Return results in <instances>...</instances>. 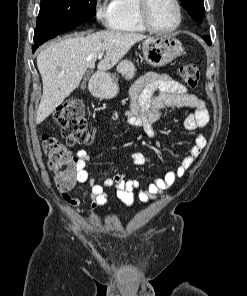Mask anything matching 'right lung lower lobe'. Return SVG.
I'll use <instances>...</instances> for the list:
<instances>
[{
	"label": "right lung lower lobe",
	"instance_id": "98d812e1",
	"mask_svg": "<svg viewBox=\"0 0 247 296\" xmlns=\"http://www.w3.org/2000/svg\"><path fill=\"white\" fill-rule=\"evenodd\" d=\"M36 48H37L36 46H34V45L32 46V50H33V51H35Z\"/></svg>",
	"mask_w": 247,
	"mask_h": 296
}]
</instances>
